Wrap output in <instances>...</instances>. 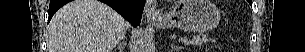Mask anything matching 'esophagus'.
<instances>
[{"label": "esophagus", "instance_id": "1", "mask_svg": "<svg viewBox=\"0 0 305 52\" xmlns=\"http://www.w3.org/2000/svg\"><path fill=\"white\" fill-rule=\"evenodd\" d=\"M156 5V0H146L145 15L147 19H155L159 16V13L156 10Z\"/></svg>", "mask_w": 305, "mask_h": 52}]
</instances>
